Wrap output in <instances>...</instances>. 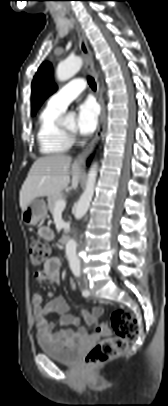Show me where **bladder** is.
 Masks as SVG:
<instances>
[{"label":"bladder","mask_w":168,"mask_h":406,"mask_svg":"<svg viewBox=\"0 0 168 406\" xmlns=\"http://www.w3.org/2000/svg\"><path fill=\"white\" fill-rule=\"evenodd\" d=\"M38 345L45 355L59 363L74 364L80 356V349L77 346L56 345L40 337Z\"/></svg>","instance_id":"obj_1"}]
</instances>
